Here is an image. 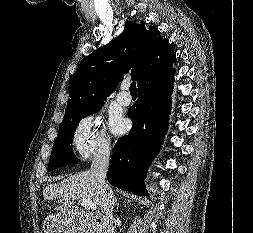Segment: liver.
I'll list each match as a JSON object with an SVG mask.
<instances>
[{
    "instance_id": "liver-1",
    "label": "liver",
    "mask_w": 253,
    "mask_h": 233,
    "mask_svg": "<svg viewBox=\"0 0 253 233\" xmlns=\"http://www.w3.org/2000/svg\"><path fill=\"white\" fill-rule=\"evenodd\" d=\"M43 197L45 200L63 198V205L55 208L61 213L73 210L75 201L80 198H86L99 208L102 204L98 183L90 171L80 172L60 183L48 185L43 191Z\"/></svg>"
}]
</instances>
